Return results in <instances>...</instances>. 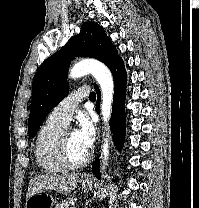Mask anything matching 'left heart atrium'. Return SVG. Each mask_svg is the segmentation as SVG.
<instances>
[{
	"instance_id": "1",
	"label": "left heart atrium",
	"mask_w": 199,
	"mask_h": 208,
	"mask_svg": "<svg viewBox=\"0 0 199 208\" xmlns=\"http://www.w3.org/2000/svg\"><path fill=\"white\" fill-rule=\"evenodd\" d=\"M80 144L89 151L94 142V127L86 116H81L78 120V128L75 131Z\"/></svg>"
}]
</instances>
